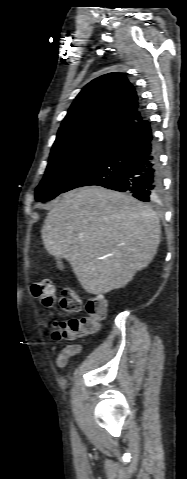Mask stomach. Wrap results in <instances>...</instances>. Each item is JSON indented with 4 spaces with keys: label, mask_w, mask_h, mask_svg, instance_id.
<instances>
[{
    "label": "stomach",
    "mask_w": 187,
    "mask_h": 479,
    "mask_svg": "<svg viewBox=\"0 0 187 479\" xmlns=\"http://www.w3.org/2000/svg\"><path fill=\"white\" fill-rule=\"evenodd\" d=\"M57 266H58L59 269H63V268H64V265H63V263H62L61 260H57Z\"/></svg>",
    "instance_id": "stomach-1"
}]
</instances>
